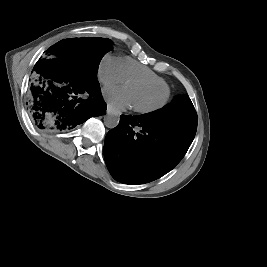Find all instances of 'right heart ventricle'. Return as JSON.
Wrapping results in <instances>:
<instances>
[{"label": "right heart ventricle", "mask_w": 267, "mask_h": 267, "mask_svg": "<svg viewBox=\"0 0 267 267\" xmlns=\"http://www.w3.org/2000/svg\"><path fill=\"white\" fill-rule=\"evenodd\" d=\"M121 70L124 77V80H127L130 77H145L151 80L157 81L162 83L164 86L168 87L167 82L155 73L151 68L148 66L142 65L139 62L129 58L124 57L121 58Z\"/></svg>", "instance_id": "right-heart-ventricle-1"}]
</instances>
